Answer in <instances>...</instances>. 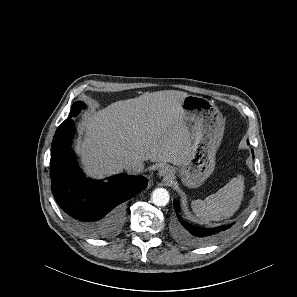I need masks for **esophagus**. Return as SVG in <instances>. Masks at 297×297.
Returning a JSON list of instances; mask_svg holds the SVG:
<instances>
[{
    "label": "esophagus",
    "mask_w": 297,
    "mask_h": 297,
    "mask_svg": "<svg viewBox=\"0 0 297 297\" xmlns=\"http://www.w3.org/2000/svg\"><path fill=\"white\" fill-rule=\"evenodd\" d=\"M158 175L160 177L170 178L173 175V173H172V170L169 169L168 167L162 166L158 169Z\"/></svg>",
    "instance_id": "esophagus-1"
}]
</instances>
